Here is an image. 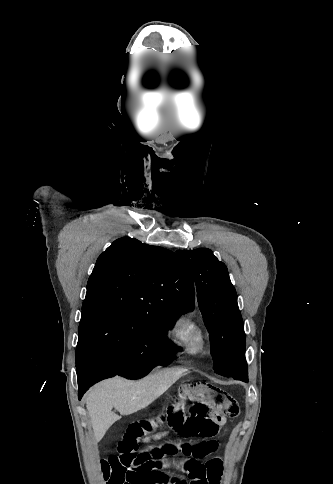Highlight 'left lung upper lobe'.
I'll return each mask as SVG.
<instances>
[{
    "label": "left lung upper lobe",
    "instance_id": "5c2ea615",
    "mask_svg": "<svg viewBox=\"0 0 333 484\" xmlns=\"http://www.w3.org/2000/svg\"><path fill=\"white\" fill-rule=\"evenodd\" d=\"M177 254L196 283L199 308L210 333L214 371L235 379H248L247 368L236 363V356L245 349V333L226 265L207 248L178 250Z\"/></svg>",
    "mask_w": 333,
    "mask_h": 484
}]
</instances>
